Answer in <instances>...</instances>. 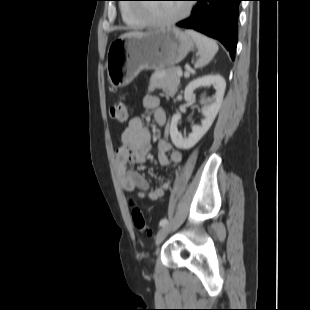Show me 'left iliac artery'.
Returning <instances> with one entry per match:
<instances>
[{
    "instance_id": "obj_1",
    "label": "left iliac artery",
    "mask_w": 310,
    "mask_h": 310,
    "mask_svg": "<svg viewBox=\"0 0 310 310\" xmlns=\"http://www.w3.org/2000/svg\"><path fill=\"white\" fill-rule=\"evenodd\" d=\"M168 223V220L166 218L162 219L160 222H159V226H164Z\"/></svg>"
}]
</instances>
